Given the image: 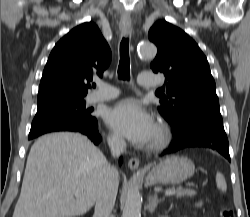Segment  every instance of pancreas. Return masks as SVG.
Wrapping results in <instances>:
<instances>
[{"mask_svg":"<svg viewBox=\"0 0 250 217\" xmlns=\"http://www.w3.org/2000/svg\"><path fill=\"white\" fill-rule=\"evenodd\" d=\"M169 190H174L175 191V196L176 197H193L196 195L195 190H190V189H182V188H171Z\"/></svg>","mask_w":250,"mask_h":217,"instance_id":"pancreas-1","label":"pancreas"}]
</instances>
